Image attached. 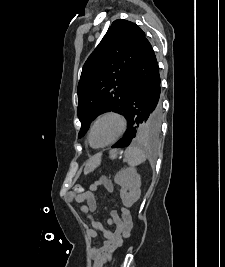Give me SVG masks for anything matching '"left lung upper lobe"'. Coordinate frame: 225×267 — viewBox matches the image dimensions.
<instances>
[{"label":"left lung upper lobe","instance_id":"5c2ea615","mask_svg":"<svg viewBox=\"0 0 225 267\" xmlns=\"http://www.w3.org/2000/svg\"><path fill=\"white\" fill-rule=\"evenodd\" d=\"M145 41V33L136 24L118 19L89 56L77 89V113L81 122L78 138L104 112L126 115L133 75ZM159 130L160 126L152 125L150 119L141 120L136 135L153 138Z\"/></svg>","mask_w":225,"mask_h":267}]
</instances>
